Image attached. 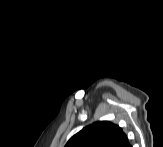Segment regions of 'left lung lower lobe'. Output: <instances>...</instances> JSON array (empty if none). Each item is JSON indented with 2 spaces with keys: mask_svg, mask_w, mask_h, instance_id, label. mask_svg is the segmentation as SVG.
<instances>
[{
  "mask_svg": "<svg viewBox=\"0 0 163 147\" xmlns=\"http://www.w3.org/2000/svg\"><path fill=\"white\" fill-rule=\"evenodd\" d=\"M116 147H131L125 134H123Z\"/></svg>",
  "mask_w": 163,
  "mask_h": 147,
  "instance_id": "left-lung-lower-lobe-1",
  "label": "left lung lower lobe"
}]
</instances>
